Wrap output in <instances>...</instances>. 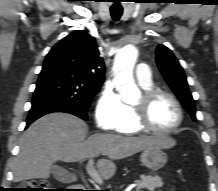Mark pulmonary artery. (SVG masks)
Masks as SVG:
<instances>
[{"mask_svg": "<svg viewBox=\"0 0 218 191\" xmlns=\"http://www.w3.org/2000/svg\"><path fill=\"white\" fill-rule=\"evenodd\" d=\"M136 78L140 85L142 86L150 85L152 83L151 68L145 63H140L137 66Z\"/></svg>", "mask_w": 218, "mask_h": 191, "instance_id": "1", "label": "pulmonary artery"}]
</instances>
